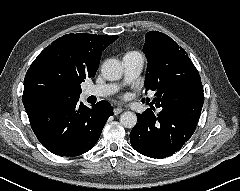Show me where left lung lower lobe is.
Segmentation results:
<instances>
[{"mask_svg": "<svg viewBox=\"0 0 240 191\" xmlns=\"http://www.w3.org/2000/svg\"><path fill=\"white\" fill-rule=\"evenodd\" d=\"M203 102V89L193 87L170 105L159 108L158 113L152 105L142 114L137 113L138 123L130 133L132 147L151 158L173 155L194 133Z\"/></svg>", "mask_w": 240, "mask_h": 191, "instance_id": "1", "label": "left lung lower lobe"}]
</instances>
